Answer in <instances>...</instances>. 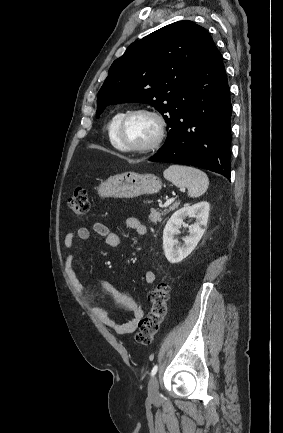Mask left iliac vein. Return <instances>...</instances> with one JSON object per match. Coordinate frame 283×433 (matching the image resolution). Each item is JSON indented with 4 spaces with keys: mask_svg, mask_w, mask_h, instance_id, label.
I'll return each mask as SVG.
<instances>
[{
    "mask_svg": "<svg viewBox=\"0 0 283 433\" xmlns=\"http://www.w3.org/2000/svg\"><path fill=\"white\" fill-rule=\"evenodd\" d=\"M160 398L159 384L156 376L150 378L148 383V399L154 403H158Z\"/></svg>",
    "mask_w": 283,
    "mask_h": 433,
    "instance_id": "obj_1",
    "label": "left iliac vein"
}]
</instances>
